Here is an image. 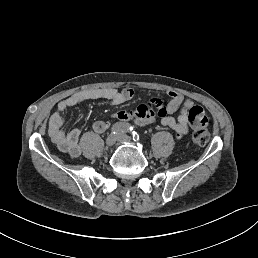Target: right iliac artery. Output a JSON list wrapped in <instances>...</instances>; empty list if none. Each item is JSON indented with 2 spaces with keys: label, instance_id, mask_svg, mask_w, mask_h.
Returning <instances> with one entry per match:
<instances>
[{
  "label": "right iliac artery",
  "instance_id": "right-iliac-artery-1",
  "mask_svg": "<svg viewBox=\"0 0 258 258\" xmlns=\"http://www.w3.org/2000/svg\"><path fill=\"white\" fill-rule=\"evenodd\" d=\"M132 130L133 127L128 123H115L111 128L113 134L128 132Z\"/></svg>",
  "mask_w": 258,
  "mask_h": 258
}]
</instances>
